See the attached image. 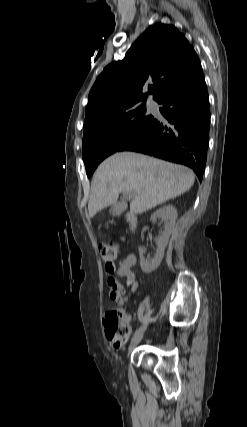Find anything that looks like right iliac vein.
<instances>
[{"label":"right iliac vein","instance_id":"obj_1","mask_svg":"<svg viewBox=\"0 0 247 427\" xmlns=\"http://www.w3.org/2000/svg\"><path fill=\"white\" fill-rule=\"evenodd\" d=\"M144 332L145 329L140 332L139 334H137L136 336H134L131 340L129 349H128V354L138 345V343L142 340L143 336H144Z\"/></svg>","mask_w":247,"mask_h":427}]
</instances>
